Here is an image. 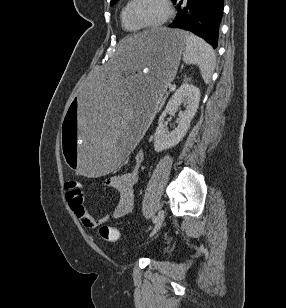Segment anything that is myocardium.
Wrapping results in <instances>:
<instances>
[{"label": "myocardium", "mask_w": 286, "mask_h": 308, "mask_svg": "<svg viewBox=\"0 0 286 308\" xmlns=\"http://www.w3.org/2000/svg\"><path fill=\"white\" fill-rule=\"evenodd\" d=\"M137 0H130V4L128 7V19L129 21L138 29H157L162 27L164 24L168 22L173 14L172 6L170 0H162V3L165 8V15L162 19L153 24H141L139 23L134 16V6Z\"/></svg>", "instance_id": "f54148a6"}]
</instances>
